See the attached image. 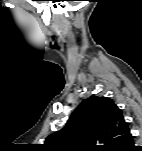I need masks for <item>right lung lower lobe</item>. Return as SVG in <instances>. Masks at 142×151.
<instances>
[{"label":"right lung lower lobe","mask_w":142,"mask_h":151,"mask_svg":"<svg viewBox=\"0 0 142 151\" xmlns=\"http://www.w3.org/2000/svg\"><path fill=\"white\" fill-rule=\"evenodd\" d=\"M134 150H138V149L134 146L133 140H131V142L127 146L120 149L119 151H134Z\"/></svg>","instance_id":"98d812e1"}]
</instances>
